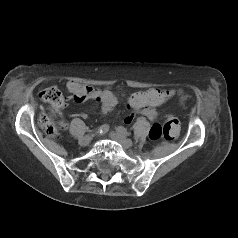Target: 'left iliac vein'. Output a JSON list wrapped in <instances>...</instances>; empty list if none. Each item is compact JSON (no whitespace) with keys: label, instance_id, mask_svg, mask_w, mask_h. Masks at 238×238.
<instances>
[{"label":"left iliac vein","instance_id":"left-iliac-vein-1","mask_svg":"<svg viewBox=\"0 0 238 238\" xmlns=\"http://www.w3.org/2000/svg\"><path fill=\"white\" fill-rule=\"evenodd\" d=\"M110 138L117 141L124 149H128L133 145V142L130 139L117 132H111Z\"/></svg>","mask_w":238,"mask_h":238}]
</instances>
